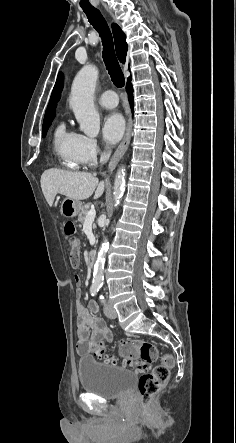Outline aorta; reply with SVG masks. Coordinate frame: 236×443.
Masks as SVG:
<instances>
[{
  "instance_id": "aorta-1",
  "label": "aorta",
  "mask_w": 236,
  "mask_h": 443,
  "mask_svg": "<svg viewBox=\"0 0 236 443\" xmlns=\"http://www.w3.org/2000/svg\"><path fill=\"white\" fill-rule=\"evenodd\" d=\"M97 79L98 69L93 65H85L76 75L70 95V107L79 123V128L89 137H96L100 131V118L93 101ZM125 176V168L122 166L117 171L114 181L115 207L120 204L125 190ZM108 248V239H104L99 248L93 271V284L98 287L103 285V272Z\"/></svg>"
}]
</instances>
